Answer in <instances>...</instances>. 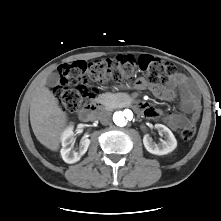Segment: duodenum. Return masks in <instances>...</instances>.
<instances>
[{
    "mask_svg": "<svg viewBox=\"0 0 221 221\" xmlns=\"http://www.w3.org/2000/svg\"><path fill=\"white\" fill-rule=\"evenodd\" d=\"M132 105H135L137 108H141L142 104H135L132 103ZM102 108V104L98 100H93L92 103L85 109H83L79 117L82 121H90L94 118L95 112Z\"/></svg>",
    "mask_w": 221,
    "mask_h": 221,
    "instance_id": "duodenum-1",
    "label": "duodenum"
}]
</instances>
